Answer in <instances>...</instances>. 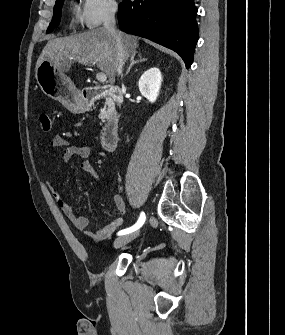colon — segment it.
<instances>
[{"mask_svg": "<svg viewBox=\"0 0 285 335\" xmlns=\"http://www.w3.org/2000/svg\"><path fill=\"white\" fill-rule=\"evenodd\" d=\"M39 122L43 131L49 132L51 130V119L47 113L43 112L39 115Z\"/></svg>", "mask_w": 285, "mask_h": 335, "instance_id": "obj_1", "label": "colon"}]
</instances>
